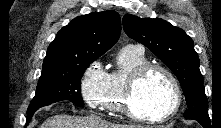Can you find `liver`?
<instances>
[{"mask_svg":"<svg viewBox=\"0 0 221 128\" xmlns=\"http://www.w3.org/2000/svg\"><path fill=\"white\" fill-rule=\"evenodd\" d=\"M40 128H150V127L142 125L113 124L93 114L84 117L61 114L48 118L45 122L42 123Z\"/></svg>","mask_w":221,"mask_h":128,"instance_id":"liver-1","label":"liver"}]
</instances>
